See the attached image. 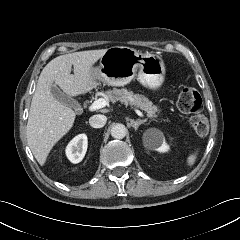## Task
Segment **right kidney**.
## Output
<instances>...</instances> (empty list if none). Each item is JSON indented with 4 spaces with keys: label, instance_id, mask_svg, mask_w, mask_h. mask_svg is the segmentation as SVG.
<instances>
[{
    "label": "right kidney",
    "instance_id": "obj_1",
    "mask_svg": "<svg viewBox=\"0 0 240 240\" xmlns=\"http://www.w3.org/2000/svg\"><path fill=\"white\" fill-rule=\"evenodd\" d=\"M88 146V139L85 134L74 137L66 147V155L72 163H79L84 158Z\"/></svg>",
    "mask_w": 240,
    "mask_h": 240
}]
</instances>
